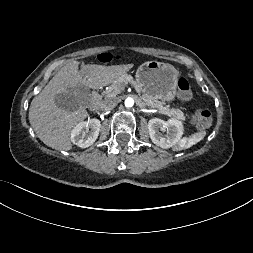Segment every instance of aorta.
Returning a JSON list of instances; mask_svg holds the SVG:
<instances>
[{
	"label": "aorta",
	"instance_id": "aorta-1",
	"mask_svg": "<svg viewBox=\"0 0 253 253\" xmlns=\"http://www.w3.org/2000/svg\"><path fill=\"white\" fill-rule=\"evenodd\" d=\"M134 105V99L133 98H127L126 100H125V106L126 107H132Z\"/></svg>",
	"mask_w": 253,
	"mask_h": 253
}]
</instances>
